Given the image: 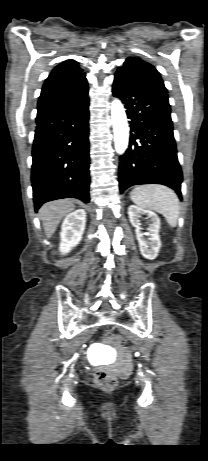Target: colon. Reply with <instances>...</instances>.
<instances>
[{"mask_svg": "<svg viewBox=\"0 0 208 461\" xmlns=\"http://www.w3.org/2000/svg\"><path fill=\"white\" fill-rule=\"evenodd\" d=\"M104 341L107 343H112L117 347H125L126 346V340L124 337L120 335H113L110 333H107L104 335ZM117 382L116 375L113 371L103 368L99 369L95 373V383L98 387L102 389H109L115 386Z\"/></svg>", "mask_w": 208, "mask_h": 461, "instance_id": "1", "label": "colon"}]
</instances>
